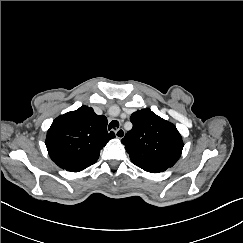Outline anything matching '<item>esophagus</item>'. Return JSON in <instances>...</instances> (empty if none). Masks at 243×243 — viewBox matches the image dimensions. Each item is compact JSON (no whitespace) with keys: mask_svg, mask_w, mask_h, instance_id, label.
<instances>
[{"mask_svg":"<svg viewBox=\"0 0 243 243\" xmlns=\"http://www.w3.org/2000/svg\"><path fill=\"white\" fill-rule=\"evenodd\" d=\"M115 135L118 139H122L125 136V131L123 128H119L115 131Z\"/></svg>","mask_w":243,"mask_h":243,"instance_id":"esophagus-1","label":"esophagus"}]
</instances>
